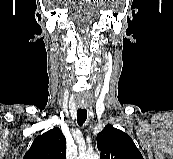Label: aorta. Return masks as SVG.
I'll use <instances>...</instances> for the list:
<instances>
[{"label":"aorta","mask_w":173,"mask_h":159,"mask_svg":"<svg viewBox=\"0 0 173 159\" xmlns=\"http://www.w3.org/2000/svg\"><path fill=\"white\" fill-rule=\"evenodd\" d=\"M78 159H99V156L92 152H81Z\"/></svg>","instance_id":"762f6f07"}]
</instances>
